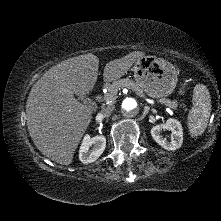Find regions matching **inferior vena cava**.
Instances as JSON below:
<instances>
[{
	"mask_svg": "<svg viewBox=\"0 0 221 221\" xmlns=\"http://www.w3.org/2000/svg\"><path fill=\"white\" fill-rule=\"evenodd\" d=\"M113 110H114V106H107V107L102 109L101 115L103 117H109Z\"/></svg>",
	"mask_w": 221,
	"mask_h": 221,
	"instance_id": "602c4592",
	"label": "inferior vena cava"
}]
</instances>
